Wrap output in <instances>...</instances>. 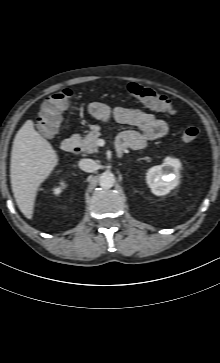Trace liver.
I'll return each mask as SVG.
<instances>
[{
  "instance_id": "1",
  "label": "liver",
  "mask_w": 220,
  "mask_h": 363,
  "mask_svg": "<svg viewBox=\"0 0 220 363\" xmlns=\"http://www.w3.org/2000/svg\"><path fill=\"white\" fill-rule=\"evenodd\" d=\"M58 155L50 142L27 120L15 135L10 163V179L20 211L32 219L36 193L40 184L58 165Z\"/></svg>"
}]
</instances>
